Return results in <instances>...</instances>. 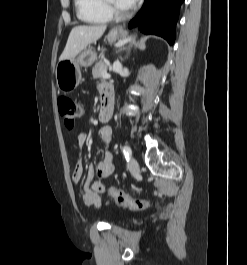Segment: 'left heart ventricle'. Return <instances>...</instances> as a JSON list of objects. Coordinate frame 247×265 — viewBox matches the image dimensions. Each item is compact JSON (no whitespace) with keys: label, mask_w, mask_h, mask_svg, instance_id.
<instances>
[{"label":"left heart ventricle","mask_w":247,"mask_h":265,"mask_svg":"<svg viewBox=\"0 0 247 265\" xmlns=\"http://www.w3.org/2000/svg\"><path fill=\"white\" fill-rule=\"evenodd\" d=\"M119 9L124 10L121 6L118 5L117 0H111Z\"/></svg>","instance_id":"left-heart-ventricle-1"}]
</instances>
